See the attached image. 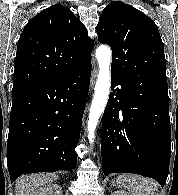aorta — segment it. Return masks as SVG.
<instances>
[{"label": "aorta", "mask_w": 178, "mask_h": 195, "mask_svg": "<svg viewBox=\"0 0 178 195\" xmlns=\"http://www.w3.org/2000/svg\"><path fill=\"white\" fill-rule=\"evenodd\" d=\"M111 55V50L106 45H101L96 50L99 74L94 89V98L89 110V119L87 123L88 139L91 143L94 141L97 124L105 109L109 97L111 82Z\"/></svg>", "instance_id": "aorta-1"}]
</instances>
